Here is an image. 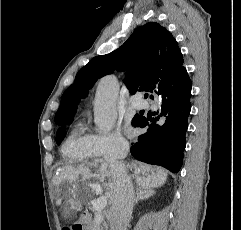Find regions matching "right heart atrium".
I'll list each match as a JSON object with an SVG mask.
<instances>
[{"label": "right heart atrium", "mask_w": 241, "mask_h": 230, "mask_svg": "<svg viewBox=\"0 0 241 230\" xmlns=\"http://www.w3.org/2000/svg\"><path fill=\"white\" fill-rule=\"evenodd\" d=\"M91 142L97 156L119 157L129 147L128 141L118 131L91 135Z\"/></svg>", "instance_id": "right-heart-atrium-1"}]
</instances>
